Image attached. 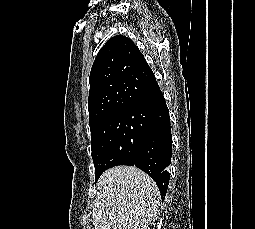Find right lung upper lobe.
Listing matches in <instances>:
<instances>
[{"mask_svg": "<svg viewBox=\"0 0 255 229\" xmlns=\"http://www.w3.org/2000/svg\"><path fill=\"white\" fill-rule=\"evenodd\" d=\"M156 82L143 54L126 36L110 38L93 63L88 98L91 134L105 120L149 95Z\"/></svg>", "mask_w": 255, "mask_h": 229, "instance_id": "1", "label": "right lung upper lobe"}]
</instances>
